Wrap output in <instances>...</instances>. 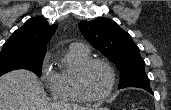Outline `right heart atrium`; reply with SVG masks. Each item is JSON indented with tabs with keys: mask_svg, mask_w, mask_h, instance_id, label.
<instances>
[{
	"mask_svg": "<svg viewBox=\"0 0 171 110\" xmlns=\"http://www.w3.org/2000/svg\"><path fill=\"white\" fill-rule=\"evenodd\" d=\"M54 73L51 71L49 67V56H46L44 61H43V66H42V79L49 83L50 80L53 78Z\"/></svg>",
	"mask_w": 171,
	"mask_h": 110,
	"instance_id": "1",
	"label": "right heart atrium"
}]
</instances>
